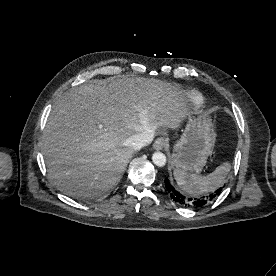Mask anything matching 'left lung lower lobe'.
<instances>
[{"label":"left lung lower lobe","instance_id":"0a47b994","mask_svg":"<svg viewBox=\"0 0 276 276\" xmlns=\"http://www.w3.org/2000/svg\"><path fill=\"white\" fill-rule=\"evenodd\" d=\"M164 189L167 192L168 195L178 204L185 206V207H200L202 205H205L206 203H209L214 198H216L220 192L222 191V187L219 189H215L214 191L208 192L205 194V196H202L200 198H193L188 197L183 194H181L179 191H177L174 186L171 184L168 177L164 179Z\"/></svg>","mask_w":276,"mask_h":276}]
</instances>
